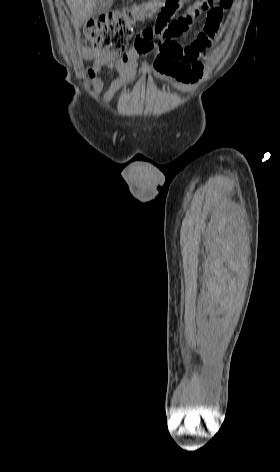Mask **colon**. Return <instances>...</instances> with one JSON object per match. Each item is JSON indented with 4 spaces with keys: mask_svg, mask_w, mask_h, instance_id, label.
<instances>
[{
    "mask_svg": "<svg viewBox=\"0 0 280 472\" xmlns=\"http://www.w3.org/2000/svg\"><path fill=\"white\" fill-rule=\"evenodd\" d=\"M204 0L203 7L208 9L206 22L216 24L222 19V10L228 8L232 0ZM184 0H148L140 5L112 11L89 20L82 31V41L95 49H102L111 57L121 55L127 47L137 24L155 19L167 22L181 7Z\"/></svg>",
    "mask_w": 280,
    "mask_h": 472,
    "instance_id": "1",
    "label": "colon"
}]
</instances>
